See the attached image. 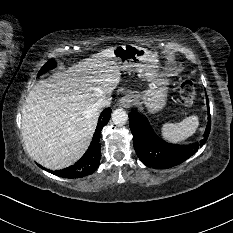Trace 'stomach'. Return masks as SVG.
Returning a JSON list of instances; mask_svg holds the SVG:
<instances>
[{"label": "stomach", "mask_w": 233, "mask_h": 233, "mask_svg": "<svg viewBox=\"0 0 233 233\" xmlns=\"http://www.w3.org/2000/svg\"><path fill=\"white\" fill-rule=\"evenodd\" d=\"M113 54L122 71L137 72L140 78L149 82L147 90L133 96L146 105L149 113L160 111L166 105L169 78L160 69L156 56L134 44L116 46Z\"/></svg>", "instance_id": "obj_1"}]
</instances>
